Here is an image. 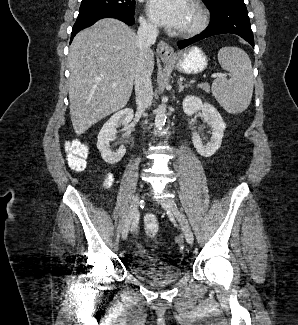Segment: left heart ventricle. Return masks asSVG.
Segmentation results:
<instances>
[{"label":"left heart ventricle","mask_w":298,"mask_h":325,"mask_svg":"<svg viewBox=\"0 0 298 325\" xmlns=\"http://www.w3.org/2000/svg\"><path fill=\"white\" fill-rule=\"evenodd\" d=\"M194 22H195V15L191 10L190 6L188 4H185V11H184L182 25L178 29H175L174 31L179 32V31L186 30L190 28L194 24Z\"/></svg>","instance_id":"left-heart-ventricle-1"}]
</instances>
